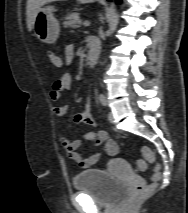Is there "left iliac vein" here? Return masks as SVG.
I'll return each mask as SVG.
<instances>
[{"instance_id": "left-iliac-vein-1", "label": "left iliac vein", "mask_w": 188, "mask_h": 213, "mask_svg": "<svg viewBox=\"0 0 188 213\" xmlns=\"http://www.w3.org/2000/svg\"><path fill=\"white\" fill-rule=\"evenodd\" d=\"M108 120H109V122H111V123L114 122V116H113V113H112V112H109V113H108Z\"/></svg>"}]
</instances>
